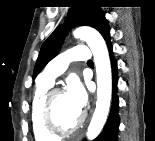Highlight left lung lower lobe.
<instances>
[{
    "label": "left lung lower lobe",
    "instance_id": "obj_1",
    "mask_svg": "<svg viewBox=\"0 0 155 141\" xmlns=\"http://www.w3.org/2000/svg\"><path fill=\"white\" fill-rule=\"evenodd\" d=\"M110 55L111 68H112V87H113V96H112V105L108 120L101 132V134L94 141H117V133L119 128V116H118V107L119 101L117 97V61L114 59L113 46L110 41V35L105 39Z\"/></svg>",
    "mask_w": 155,
    "mask_h": 141
}]
</instances>
